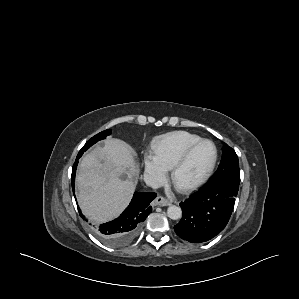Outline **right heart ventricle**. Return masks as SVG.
<instances>
[{
	"label": "right heart ventricle",
	"instance_id": "obj_1",
	"mask_svg": "<svg viewBox=\"0 0 299 299\" xmlns=\"http://www.w3.org/2000/svg\"><path fill=\"white\" fill-rule=\"evenodd\" d=\"M200 140L199 136L184 131L167 133L152 142L153 156L165 170H171L185 151Z\"/></svg>",
	"mask_w": 299,
	"mask_h": 299
}]
</instances>
